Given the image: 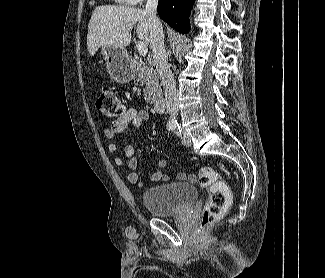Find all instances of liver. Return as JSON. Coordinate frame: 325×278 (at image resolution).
Segmentation results:
<instances>
[{"instance_id":"1","label":"liver","mask_w":325,"mask_h":278,"mask_svg":"<svg viewBox=\"0 0 325 278\" xmlns=\"http://www.w3.org/2000/svg\"><path fill=\"white\" fill-rule=\"evenodd\" d=\"M137 26V35L145 44L150 42V22L144 9L103 5L95 8L89 21L87 47L94 56L103 46L124 48L131 42V30Z\"/></svg>"}]
</instances>
